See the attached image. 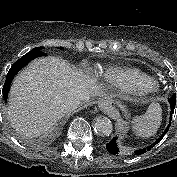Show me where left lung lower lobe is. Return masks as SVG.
Returning <instances> with one entry per match:
<instances>
[{"instance_id": "1", "label": "left lung lower lobe", "mask_w": 177, "mask_h": 177, "mask_svg": "<svg viewBox=\"0 0 177 177\" xmlns=\"http://www.w3.org/2000/svg\"><path fill=\"white\" fill-rule=\"evenodd\" d=\"M169 103H170V119L172 118V114L174 113V109H175V105H176V97L172 96L169 99ZM171 124V120L169 122V125L167 126V128L165 129V131L163 132V134L156 140V142L146 148L143 149H139L135 151V155H140L145 153L146 151L151 150V148H153L154 145H156V143H159L161 141V139L163 138V136L167 133V131L169 130ZM117 138L114 137L109 143L106 144V149L109 153L112 154H118L119 153V149L117 147V143H116Z\"/></svg>"}]
</instances>
